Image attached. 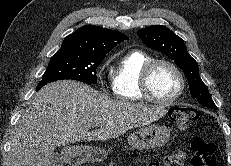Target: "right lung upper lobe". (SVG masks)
<instances>
[{"mask_svg": "<svg viewBox=\"0 0 231 166\" xmlns=\"http://www.w3.org/2000/svg\"><path fill=\"white\" fill-rule=\"evenodd\" d=\"M127 39L128 37L121 32L85 25L68 35L59 51L69 50L86 55L105 56L117 44Z\"/></svg>", "mask_w": 231, "mask_h": 166, "instance_id": "obj_1", "label": "right lung upper lobe"}]
</instances>
